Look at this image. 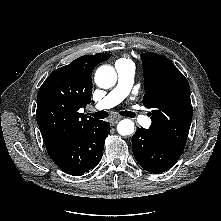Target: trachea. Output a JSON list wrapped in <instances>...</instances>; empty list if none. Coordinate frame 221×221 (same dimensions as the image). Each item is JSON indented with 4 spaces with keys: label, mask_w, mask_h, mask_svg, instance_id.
<instances>
[{
    "label": "trachea",
    "mask_w": 221,
    "mask_h": 221,
    "mask_svg": "<svg viewBox=\"0 0 221 221\" xmlns=\"http://www.w3.org/2000/svg\"><path fill=\"white\" fill-rule=\"evenodd\" d=\"M120 114L122 116H126V117H131V118L134 117V113L130 112V111H121ZM89 115H91V116H93L97 119H104V118H107L109 116L108 112H106V111H98V112H95V113H90Z\"/></svg>",
    "instance_id": "1"
}]
</instances>
